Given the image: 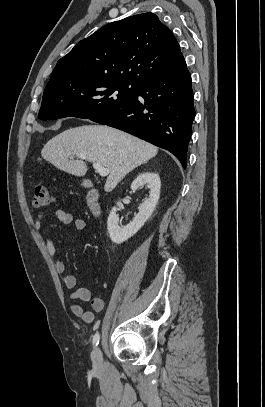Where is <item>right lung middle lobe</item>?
Returning <instances> with one entry per match:
<instances>
[{
    "label": "right lung middle lobe",
    "mask_w": 265,
    "mask_h": 407,
    "mask_svg": "<svg viewBox=\"0 0 265 407\" xmlns=\"http://www.w3.org/2000/svg\"><path fill=\"white\" fill-rule=\"evenodd\" d=\"M138 86L136 83L110 79L49 82L38 118L50 120L73 116L91 119L131 103Z\"/></svg>",
    "instance_id": "obj_1"
}]
</instances>
